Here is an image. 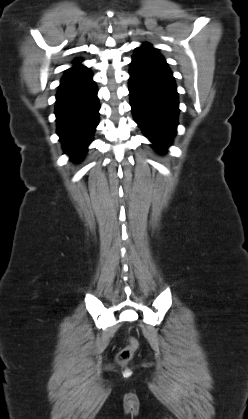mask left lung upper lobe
<instances>
[{
    "label": "left lung upper lobe",
    "mask_w": 248,
    "mask_h": 419,
    "mask_svg": "<svg viewBox=\"0 0 248 419\" xmlns=\"http://www.w3.org/2000/svg\"><path fill=\"white\" fill-rule=\"evenodd\" d=\"M146 46H143L144 48L148 49V50H153L151 45L149 43H145Z\"/></svg>",
    "instance_id": "left-lung-upper-lobe-1"
}]
</instances>
